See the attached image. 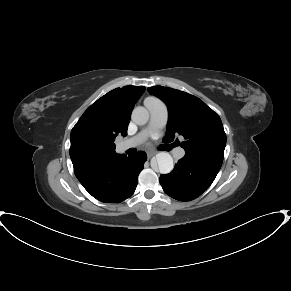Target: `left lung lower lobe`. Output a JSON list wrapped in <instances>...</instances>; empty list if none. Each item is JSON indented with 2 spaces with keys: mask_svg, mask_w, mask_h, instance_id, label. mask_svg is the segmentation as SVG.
<instances>
[{
  "mask_svg": "<svg viewBox=\"0 0 291 291\" xmlns=\"http://www.w3.org/2000/svg\"><path fill=\"white\" fill-rule=\"evenodd\" d=\"M221 163L185 155L174 170L161 175L160 184L164 192L180 201L197 198L214 181Z\"/></svg>",
  "mask_w": 291,
  "mask_h": 291,
  "instance_id": "obj_1",
  "label": "left lung lower lobe"
}]
</instances>
